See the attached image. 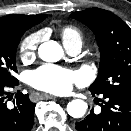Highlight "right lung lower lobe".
Here are the masks:
<instances>
[{
  "label": "right lung lower lobe",
  "mask_w": 131,
  "mask_h": 131,
  "mask_svg": "<svg viewBox=\"0 0 131 131\" xmlns=\"http://www.w3.org/2000/svg\"><path fill=\"white\" fill-rule=\"evenodd\" d=\"M19 85L18 80L7 84H0V131H31L34 125L35 103L28 94L19 93L16 96L14 108L7 106L6 89Z\"/></svg>",
  "instance_id": "right-lung-lower-lobe-1"
}]
</instances>
